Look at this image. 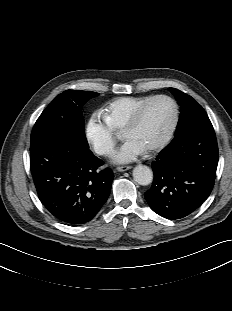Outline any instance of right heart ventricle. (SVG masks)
<instances>
[{
	"label": "right heart ventricle",
	"instance_id": "right-heart-ventricle-1",
	"mask_svg": "<svg viewBox=\"0 0 232 311\" xmlns=\"http://www.w3.org/2000/svg\"><path fill=\"white\" fill-rule=\"evenodd\" d=\"M152 96L118 97L105 106V120L115 132H121L133 116L137 108Z\"/></svg>",
	"mask_w": 232,
	"mask_h": 311
}]
</instances>
